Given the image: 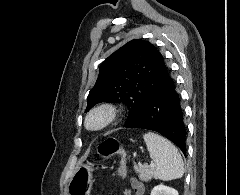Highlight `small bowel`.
I'll return each instance as SVG.
<instances>
[{"label":"small bowel","mask_w":240,"mask_h":195,"mask_svg":"<svg viewBox=\"0 0 240 195\" xmlns=\"http://www.w3.org/2000/svg\"><path fill=\"white\" fill-rule=\"evenodd\" d=\"M123 195H145V187L137 178L130 179V188L123 190Z\"/></svg>","instance_id":"1"}]
</instances>
